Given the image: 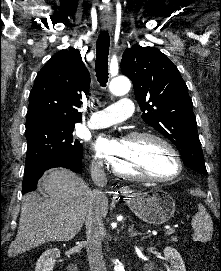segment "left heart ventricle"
I'll return each instance as SVG.
<instances>
[{
	"label": "left heart ventricle",
	"instance_id": "b2bd125f",
	"mask_svg": "<svg viewBox=\"0 0 221 271\" xmlns=\"http://www.w3.org/2000/svg\"><path fill=\"white\" fill-rule=\"evenodd\" d=\"M158 139L145 137L134 141L136 156H120L114 161L118 175H148L149 177H176V166H170L168 147H160Z\"/></svg>",
	"mask_w": 221,
	"mask_h": 271
}]
</instances>
